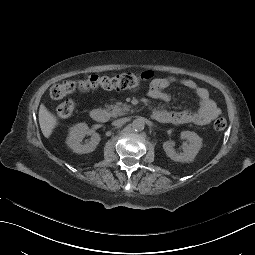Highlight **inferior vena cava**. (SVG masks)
Wrapping results in <instances>:
<instances>
[{
  "label": "inferior vena cava",
  "instance_id": "602c4592",
  "mask_svg": "<svg viewBox=\"0 0 255 255\" xmlns=\"http://www.w3.org/2000/svg\"><path fill=\"white\" fill-rule=\"evenodd\" d=\"M122 123H123V120L122 119H118V120L113 121L112 125L118 126V125H121Z\"/></svg>",
  "mask_w": 255,
  "mask_h": 255
}]
</instances>
